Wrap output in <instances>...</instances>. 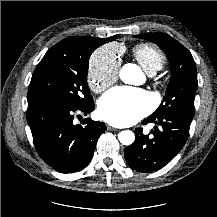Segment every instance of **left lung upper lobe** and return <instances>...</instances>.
I'll list each match as a JSON object with an SVG mask.
<instances>
[{
    "instance_id": "1",
    "label": "left lung upper lobe",
    "mask_w": 217,
    "mask_h": 217,
    "mask_svg": "<svg viewBox=\"0 0 217 217\" xmlns=\"http://www.w3.org/2000/svg\"><path fill=\"white\" fill-rule=\"evenodd\" d=\"M135 37L156 43L165 52L171 68V79L163 102L149 117L180 114L193 118L198 82L196 64L191 53L165 33H145Z\"/></svg>"
}]
</instances>
